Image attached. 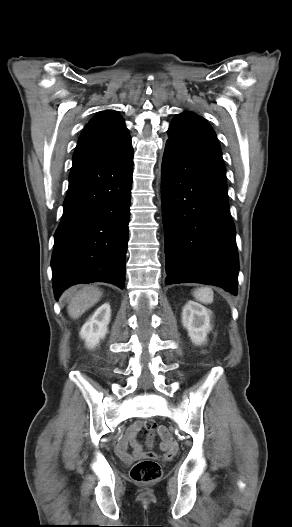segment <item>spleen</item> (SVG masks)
Masks as SVG:
<instances>
[{"label": "spleen", "mask_w": 292, "mask_h": 527, "mask_svg": "<svg viewBox=\"0 0 292 527\" xmlns=\"http://www.w3.org/2000/svg\"><path fill=\"white\" fill-rule=\"evenodd\" d=\"M195 299L201 303L208 304L213 302L214 293L213 290L209 287H202L196 289L193 292Z\"/></svg>", "instance_id": "1"}]
</instances>
